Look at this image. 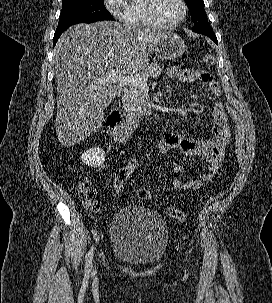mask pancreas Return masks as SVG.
<instances>
[{
    "instance_id": "cf45deb5",
    "label": "pancreas",
    "mask_w": 272,
    "mask_h": 303,
    "mask_svg": "<svg viewBox=\"0 0 272 303\" xmlns=\"http://www.w3.org/2000/svg\"><path fill=\"white\" fill-rule=\"evenodd\" d=\"M162 72L160 63L155 61L148 64L140 72L136 73L137 77H158ZM124 97L126 102L132 103L135 107H141L143 104V96L139 86L136 85H125L124 86Z\"/></svg>"
}]
</instances>
